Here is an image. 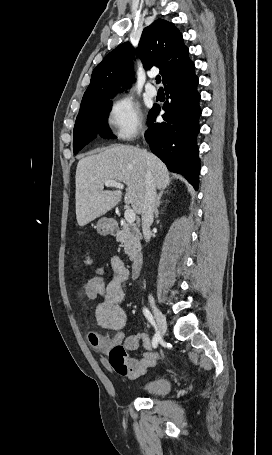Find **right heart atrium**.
<instances>
[{
  "label": "right heart atrium",
  "instance_id": "d8ad5b80",
  "mask_svg": "<svg viewBox=\"0 0 272 455\" xmlns=\"http://www.w3.org/2000/svg\"><path fill=\"white\" fill-rule=\"evenodd\" d=\"M108 121L119 141H129L143 130V118L139 106L129 97L114 100L108 111Z\"/></svg>",
  "mask_w": 272,
  "mask_h": 455
}]
</instances>
